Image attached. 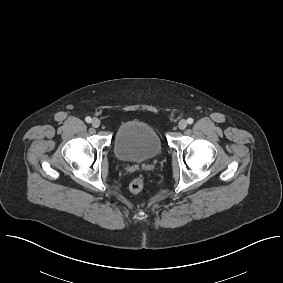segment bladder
Here are the masks:
<instances>
[{
  "label": "bladder",
  "instance_id": "1",
  "mask_svg": "<svg viewBox=\"0 0 283 283\" xmlns=\"http://www.w3.org/2000/svg\"><path fill=\"white\" fill-rule=\"evenodd\" d=\"M162 149V141L157 130L148 122L132 120L116 132L114 153L123 162L150 161L158 157Z\"/></svg>",
  "mask_w": 283,
  "mask_h": 283
}]
</instances>
